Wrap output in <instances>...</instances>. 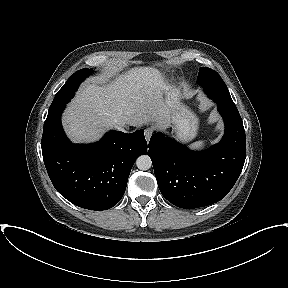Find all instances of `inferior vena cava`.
Segmentation results:
<instances>
[{
	"label": "inferior vena cava",
	"mask_w": 288,
	"mask_h": 288,
	"mask_svg": "<svg viewBox=\"0 0 288 288\" xmlns=\"http://www.w3.org/2000/svg\"><path fill=\"white\" fill-rule=\"evenodd\" d=\"M117 130L125 132L124 126L116 125Z\"/></svg>",
	"instance_id": "inferior-vena-cava-1"
}]
</instances>
